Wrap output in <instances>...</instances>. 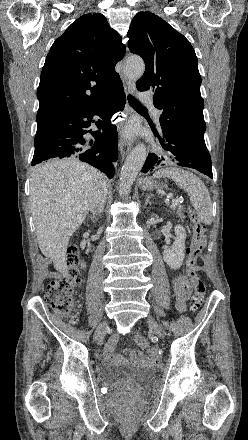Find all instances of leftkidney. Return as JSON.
Instances as JSON below:
<instances>
[{"label":"left kidney","mask_w":248,"mask_h":440,"mask_svg":"<svg viewBox=\"0 0 248 440\" xmlns=\"http://www.w3.org/2000/svg\"><path fill=\"white\" fill-rule=\"evenodd\" d=\"M176 240L173 245L163 252V259L173 270L180 268L185 257L186 231L181 225L175 226Z\"/></svg>","instance_id":"5707ae66"}]
</instances>
